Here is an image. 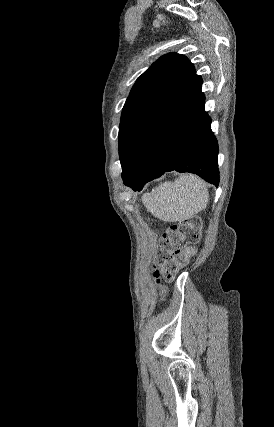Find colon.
Instances as JSON below:
<instances>
[{"label": "colon", "mask_w": 274, "mask_h": 427, "mask_svg": "<svg viewBox=\"0 0 274 427\" xmlns=\"http://www.w3.org/2000/svg\"><path fill=\"white\" fill-rule=\"evenodd\" d=\"M200 237L197 216L170 224L161 242V248H182L183 254H195Z\"/></svg>", "instance_id": "colon-1"}]
</instances>
